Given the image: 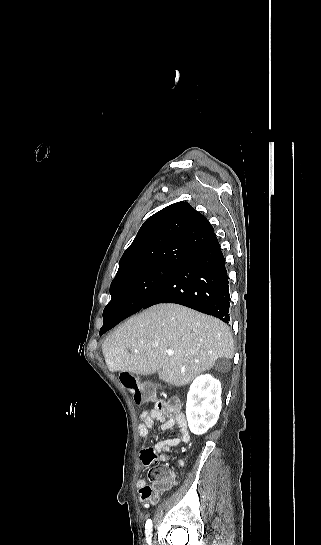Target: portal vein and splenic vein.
Segmentation results:
<instances>
[{"label":"portal vein and splenic vein","mask_w":321,"mask_h":545,"mask_svg":"<svg viewBox=\"0 0 321 545\" xmlns=\"http://www.w3.org/2000/svg\"><path fill=\"white\" fill-rule=\"evenodd\" d=\"M167 355H169V357H172L173 355V351H166Z\"/></svg>","instance_id":"1"}]
</instances>
